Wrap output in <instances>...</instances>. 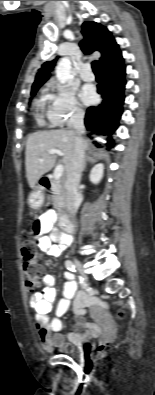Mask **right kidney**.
I'll list each match as a JSON object with an SVG mask.
<instances>
[{"label": "right kidney", "mask_w": 155, "mask_h": 395, "mask_svg": "<svg viewBox=\"0 0 155 395\" xmlns=\"http://www.w3.org/2000/svg\"><path fill=\"white\" fill-rule=\"evenodd\" d=\"M103 173H104V166H103V164H97L91 170V173H90V176H89L90 181L93 184H98L100 182V180L102 179V177H103Z\"/></svg>", "instance_id": "ca27d5eb"}]
</instances>
